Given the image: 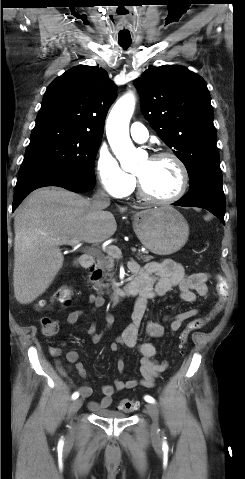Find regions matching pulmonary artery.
<instances>
[{
	"instance_id": "obj_1",
	"label": "pulmonary artery",
	"mask_w": 245,
	"mask_h": 479,
	"mask_svg": "<svg viewBox=\"0 0 245 479\" xmlns=\"http://www.w3.org/2000/svg\"><path fill=\"white\" fill-rule=\"evenodd\" d=\"M130 135L133 138V140H135L136 142L142 143L148 139L149 132L143 124L139 122H134L130 126Z\"/></svg>"
}]
</instances>
